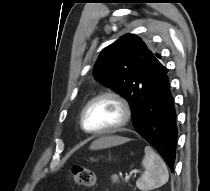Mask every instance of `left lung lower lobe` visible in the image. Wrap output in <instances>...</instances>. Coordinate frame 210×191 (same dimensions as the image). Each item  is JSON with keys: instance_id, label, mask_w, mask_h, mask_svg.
<instances>
[{"instance_id": "0a47b994", "label": "left lung lower lobe", "mask_w": 210, "mask_h": 191, "mask_svg": "<svg viewBox=\"0 0 210 191\" xmlns=\"http://www.w3.org/2000/svg\"><path fill=\"white\" fill-rule=\"evenodd\" d=\"M167 72L165 66L157 70L156 85L142 98L132 122L136 131L158 151L173 171L178 130Z\"/></svg>"}]
</instances>
